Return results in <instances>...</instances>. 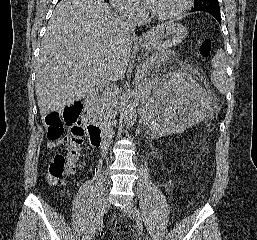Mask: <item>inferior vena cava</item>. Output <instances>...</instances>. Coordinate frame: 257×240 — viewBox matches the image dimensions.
I'll return each instance as SVG.
<instances>
[{"mask_svg": "<svg viewBox=\"0 0 257 240\" xmlns=\"http://www.w3.org/2000/svg\"><path fill=\"white\" fill-rule=\"evenodd\" d=\"M136 27L135 21L130 16H122L121 29L124 32H133ZM119 87L115 83L107 82L103 85V97L105 108L103 113V132L105 137L111 140L113 136V125L118 108Z\"/></svg>", "mask_w": 257, "mask_h": 240, "instance_id": "obj_1", "label": "inferior vena cava"}]
</instances>
